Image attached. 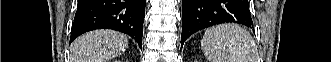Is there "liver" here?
<instances>
[{"label": "liver", "mask_w": 331, "mask_h": 62, "mask_svg": "<svg viewBox=\"0 0 331 62\" xmlns=\"http://www.w3.org/2000/svg\"><path fill=\"white\" fill-rule=\"evenodd\" d=\"M125 34L95 30L79 36L70 46L71 62H109L128 47Z\"/></svg>", "instance_id": "6515ba94"}]
</instances>
